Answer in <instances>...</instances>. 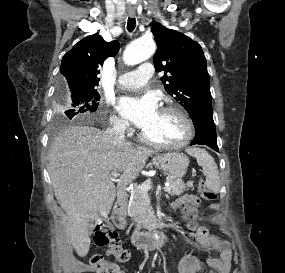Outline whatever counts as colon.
<instances>
[{"label":"colon","instance_id":"colon-1","mask_svg":"<svg viewBox=\"0 0 285 273\" xmlns=\"http://www.w3.org/2000/svg\"><path fill=\"white\" fill-rule=\"evenodd\" d=\"M200 196L206 201H215L217 194L214 189L202 182L199 186ZM184 217L187 220L188 228L191 232H203L201 223H195L198 219L197 211L193 203H186L184 205ZM95 243L100 247H106L108 253L115 256L119 263L128 261L130 254L126 249H123L117 236L113 230L105 227L95 234ZM90 265L94 273H120L115 263L105 259L102 255L96 254L91 257Z\"/></svg>","mask_w":285,"mask_h":273}]
</instances>
